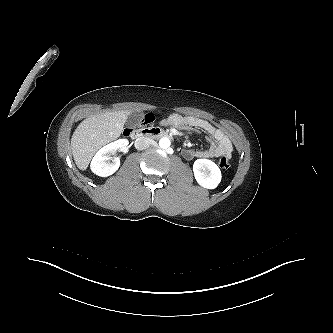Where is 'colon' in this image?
Returning a JSON list of instances; mask_svg holds the SVG:
<instances>
[{"mask_svg": "<svg viewBox=\"0 0 333 333\" xmlns=\"http://www.w3.org/2000/svg\"><path fill=\"white\" fill-rule=\"evenodd\" d=\"M155 120V116L152 113H147L144 115L143 119H142V123L145 125L151 124L153 123ZM126 132H130V130H126ZM219 166L222 169H228L230 166L229 163V158L227 156H222L219 160Z\"/></svg>", "mask_w": 333, "mask_h": 333, "instance_id": "1", "label": "colon"}]
</instances>
